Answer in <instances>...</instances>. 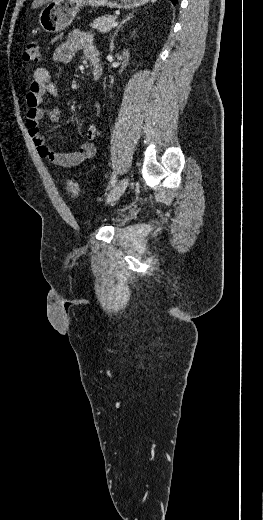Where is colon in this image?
I'll return each mask as SVG.
<instances>
[{
	"label": "colon",
	"mask_w": 263,
	"mask_h": 520,
	"mask_svg": "<svg viewBox=\"0 0 263 520\" xmlns=\"http://www.w3.org/2000/svg\"><path fill=\"white\" fill-rule=\"evenodd\" d=\"M25 61L37 62L40 59L39 46L36 41H30L27 43L25 51L23 53ZM66 192L71 197H79L81 194V186L77 179L68 177L64 182Z\"/></svg>",
	"instance_id": "1"
}]
</instances>
